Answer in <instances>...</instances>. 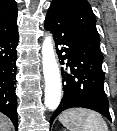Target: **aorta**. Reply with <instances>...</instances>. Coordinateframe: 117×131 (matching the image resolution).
I'll return each mask as SVG.
<instances>
[{
	"label": "aorta",
	"instance_id": "762f6f07",
	"mask_svg": "<svg viewBox=\"0 0 117 131\" xmlns=\"http://www.w3.org/2000/svg\"><path fill=\"white\" fill-rule=\"evenodd\" d=\"M41 52L45 80V106L53 111L59 106L61 101V76L50 34L46 35Z\"/></svg>",
	"mask_w": 117,
	"mask_h": 131
}]
</instances>
